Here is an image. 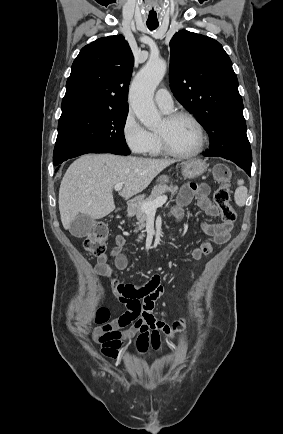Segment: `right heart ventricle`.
I'll use <instances>...</instances> for the list:
<instances>
[{"instance_id": "obj_1", "label": "right heart ventricle", "mask_w": 283, "mask_h": 434, "mask_svg": "<svg viewBox=\"0 0 283 434\" xmlns=\"http://www.w3.org/2000/svg\"><path fill=\"white\" fill-rule=\"evenodd\" d=\"M151 135H152V140H151L150 146L147 150V153L150 156H159L162 154L163 151H162L158 136L155 132L151 133Z\"/></svg>"}]
</instances>
